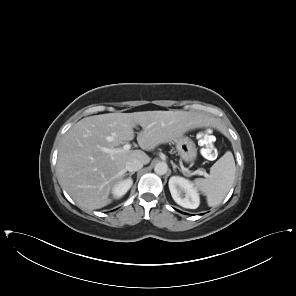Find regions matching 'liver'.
Wrapping results in <instances>:
<instances>
[{
    "instance_id": "obj_1",
    "label": "liver",
    "mask_w": 296,
    "mask_h": 296,
    "mask_svg": "<svg viewBox=\"0 0 296 296\" xmlns=\"http://www.w3.org/2000/svg\"><path fill=\"white\" fill-rule=\"evenodd\" d=\"M208 114L192 111H142L107 113L89 116L78 121L64 135L57 161L58 181L79 207L100 209L109 203L113 187L120 182L130 159L143 164L150 157L142 150H128L118 154L104 152L137 135L143 150H153L159 144L176 141L191 129L214 126Z\"/></svg>"
}]
</instances>
